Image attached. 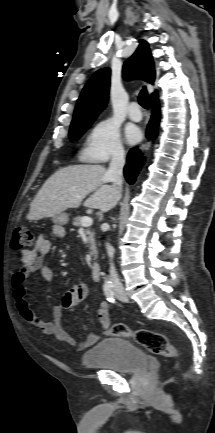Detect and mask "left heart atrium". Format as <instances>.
<instances>
[{"label":"left heart atrium","mask_w":215,"mask_h":433,"mask_svg":"<svg viewBox=\"0 0 215 433\" xmlns=\"http://www.w3.org/2000/svg\"><path fill=\"white\" fill-rule=\"evenodd\" d=\"M127 141L131 144L138 142L141 138V131L138 127L134 125H130L126 128L125 131Z\"/></svg>","instance_id":"1"}]
</instances>
